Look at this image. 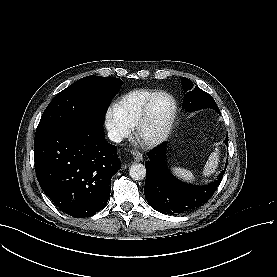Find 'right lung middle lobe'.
I'll return each instance as SVG.
<instances>
[{
    "instance_id": "obj_1",
    "label": "right lung middle lobe",
    "mask_w": 277,
    "mask_h": 277,
    "mask_svg": "<svg viewBox=\"0 0 277 277\" xmlns=\"http://www.w3.org/2000/svg\"><path fill=\"white\" fill-rule=\"evenodd\" d=\"M122 83L119 78L93 75L79 79L49 103L37 131L57 126L102 125L110 101Z\"/></svg>"
}]
</instances>
